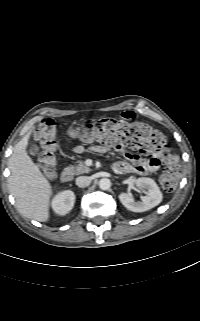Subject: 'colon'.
Instances as JSON below:
<instances>
[{"label":"colon","mask_w":200,"mask_h":321,"mask_svg":"<svg viewBox=\"0 0 200 321\" xmlns=\"http://www.w3.org/2000/svg\"><path fill=\"white\" fill-rule=\"evenodd\" d=\"M55 132L54 120L46 118L40 123L35 133V139L43 149L40 164L47 176L53 175L56 165ZM73 134L87 143L116 145L121 151L131 148L147 153H159L165 164L160 175V184L167 192L176 189L181 172L177 158L168 152L163 134L150 125L133 117L106 118L75 129Z\"/></svg>","instance_id":"colon-1"}]
</instances>
